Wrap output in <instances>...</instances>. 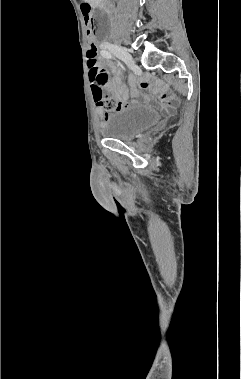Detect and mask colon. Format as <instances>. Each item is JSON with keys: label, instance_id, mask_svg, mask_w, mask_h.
<instances>
[{"label": "colon", "instance_id": "1", "mask_svg": "<svg viewBox=\"0 0 241 379\" xmlns=\"http://www.w3.org/2000/svg\"><path fill=\"white\" fill-rule=\"evenodd\" d=\"M81 11L85 16L86 20L91 18V8L88 4L84 3L81 5ZM88 39V51L87 59L90 70L87 71L88 81L93 82V95L98 105L104 109L105 112H114L120 109L119 102L111 95L105 93L104 85L106 82L107 75L105 71L97 65V50L94 44V30L88 29L87 31Z\"/></svg>", "mask_w": 241, "mask_h": 379}]
</instances>
